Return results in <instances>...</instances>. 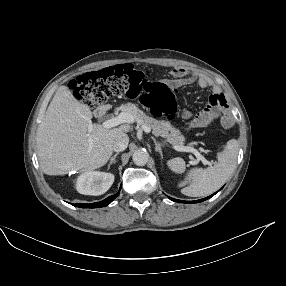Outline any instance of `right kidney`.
<instances>
[{"mask_svg":"<svg viewBox=\"0 0 286 286\" xmlns=\"http://www.w3.org/2000/svg\"><path fill=\"white\" fill-rule=\"evenodd\" d=\"M114 182V175L106 172L89 171L77 178L76 189L84 195H101L108 191Z\"/></svg>","mask_w":286,"mask_h":286,"instance_id":"right-kidney-1","label":"right kidney"}]
</instances>
